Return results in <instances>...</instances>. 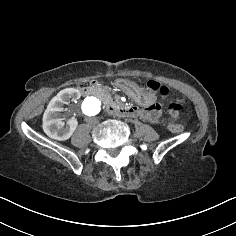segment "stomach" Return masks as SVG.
<instances>
[{
	"label": "stomach",
	"mask_w": 236,
	"mask_h": 236,
	"mask_svg": "<svg viewBox=\"0 0 236 236\" xmlns=\"http://www.w3.org/2000/svg\"><path fill=\"white\" fill-rule=\"evenodd\" d=\"M116 88L136 104L150 105L155 98L153 91L143 90L135 79L119 78L116 81Z\"/></svg>",
	"instance_id": "0dacf381"
}]
</instances>
